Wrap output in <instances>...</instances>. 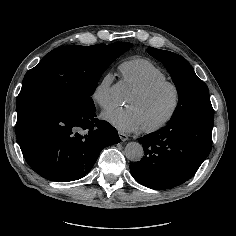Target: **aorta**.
<instances>
[{
    "label": "aorta",
    "mask_w": 236,
    "mask_h": 236,
    "mask_svg": "<svg viewBox=\"0 0 236 236\" xmlns=\"http://www.w3.org/2000/svg\"><path fill=\"white\" fill-rule=\"evenodd\" d=\"M125 156L132 162H138L144 155L143 147L138 142H130L125 147Z\"/></svg>",
    "instance_id": "762f6f07"
}]
</instances>
